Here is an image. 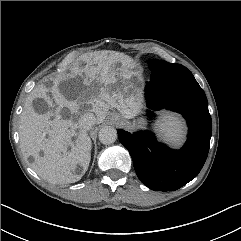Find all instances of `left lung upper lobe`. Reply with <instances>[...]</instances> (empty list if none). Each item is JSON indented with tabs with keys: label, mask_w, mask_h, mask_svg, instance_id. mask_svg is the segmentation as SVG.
Returning a JSON list of instances; mask_svg holds the SVG:
<instances>
[{
	"label": "left lung upper lobe",
	"mask_w": 241,
	"mask_h": 241,
	"mask_svg": "<svg viewBox=\"0 0 241 241\" xmlns=\"http://www.w3.org/2000/svg\"><path fill=\"white\" fill-rule=\"evenodd\" d=\"M149 68L161 72L168 81L169 91L178 92L181 89L197 84L192 73L181 64H171L161 60H151L148 62Z\"/></svg>",
	"instance_id": "left-lung-upper-lobe-1"
}]
</instances>
